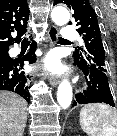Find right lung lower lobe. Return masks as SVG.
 I'll return each mask as SVG.
<instances>
[{
    "mask_svg": "<svg viewBox=\"0 0 117 136\" xmlns=\"http://www.w3.org/2000/svg\"><path fill=\"white\" fill-rule=\"evenodd\" d=\"M24 61L32 63L34 59L27 55L22 59H0V90H9L22 96L26 101L30 100L28 91L30 77L23 71Z\"/></svg>",
    "mask_w": 117,
    "mask_h": 136,
    "instance_id": "1",
    "label": "right lung lower lobe"
}]
</instances>
